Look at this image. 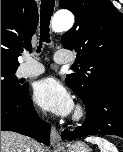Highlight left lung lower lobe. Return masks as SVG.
<instances>
[{
    "instance_id": "left-lung-lower-lobe-1",
    "label": "left lung lower lobe",
    "mask_w": 123,
    "mask_h": 152,
    "mask_svg": "<svg viewBox=\"0 0 123 152\" xmlns=\"http://www.w3.org/2000/svg\"><path fill=\"white\" fill-rule=\"evenodd\" d=\"M86 105L85 123L74 131L64 130L63 140L88 135H116L123 138V87H106L97 91Z\"/></svg>"
}]
</instances>
